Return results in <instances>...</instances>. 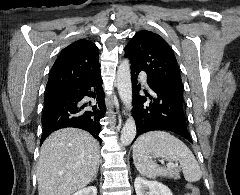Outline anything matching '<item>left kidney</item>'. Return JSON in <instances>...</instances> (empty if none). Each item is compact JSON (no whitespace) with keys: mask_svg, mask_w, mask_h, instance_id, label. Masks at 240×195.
Here are the masks:
<instances>
[{"mask_svg":"<svg viewBox=\"0 0 240 195\" xmlns=\"http://www.w3.org/2000/svg\"><path fill=\"white\" fill-rule=\"evenodd\" d=\"M134 187L136 195H173L168 185L161 181H148L144 177H135Z\"/></svg>","mask_w":240,"mask_h":195,"instance_id":"1","label":"left kidney"}]
</instances>
